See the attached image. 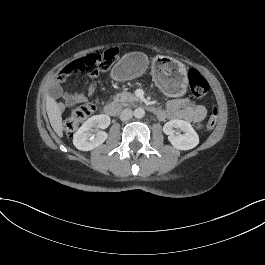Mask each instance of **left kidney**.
I'll use <instances>...</instances> for the list:
<instances>
[{
    "label": "left kidney",
    "instance_id": "left-kidney-1",
    "mask_svg": "<svg viewBox=\"0 0 265 265\" xmlns=\"http://www.w3.org/2000/svg\"><path fill=\"white\" fill-rule=\"evenodd\" d=\"M175 129H179L183 133H175ZM163 132L169 135L171 145L177 150L187 151L199 144L198 134L187 121L171 120L163 126Z\"/></svg>",
    "mask_w": 265,
    "mask_h": 265
}]
</instances>
